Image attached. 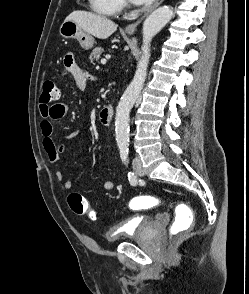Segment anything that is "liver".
Masks as SVG:
<instances>
[{"label":"liver","instance_id":"6515ba94","mask_svg":"<svg viewBox=\"0 0 249 294\" xmlns=\"http://www.w3.org/2000/svg\"><path fill=\"white\" fill-rule=\"evenodd\" d=\"M65 20L75 22L83 31L98 39H107L118 27L104 16L81 10L73 11Z\"/></svg>","mask_w":249,"mask_h":294}]
</instances>
